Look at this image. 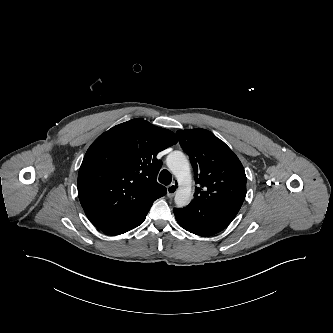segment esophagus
Returning a JSON list of instances; mask_svg holds the SVG:
<instances>
[{"label": "esophagus", "instance_id": "esophagus-1", "mask_svg": "<svg viewBox=\"0 0 333 333\" xmlns=\"http://www.w3.org/2000/svg\"><path fill=\"white\" fill-rule=\"evenodd\" d=\"M176 190H177V186H176L175 182H173L171 185H169L167 187V196L169 198H172L175 195Z\"/></svg>", "mask_w": 333, "mask_h": 333}]
</instances>
